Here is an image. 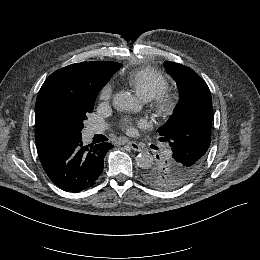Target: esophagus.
Returning <instances> with one entry per match:
<instances>
[{
	"label": "esophagus",
	"instance_id": "34e87169",
	"mask_svg": "<svg viewBox=\"0 0 260 260\" xmlns=\"http://www.w3.org/2000/svg\"><path fill=\"white\" fill-rule=\"evenodd\" d=\"M128 145L133 149L134 151L141 152L142 148L134 141H129Z\"/></svg>",
	"mask_w": 260,
	"mask_h": 260
}]
</instances>
